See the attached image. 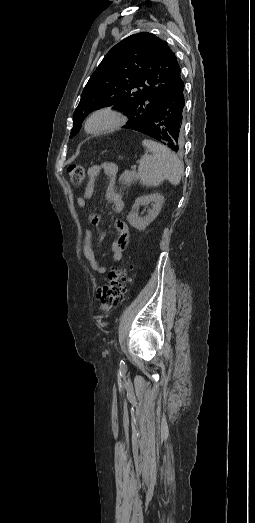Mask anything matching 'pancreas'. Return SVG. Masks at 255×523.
I'll use <instances>...</instances> for the list:
<instances>
[{
	"label": "pancreas",
	"mask_w": 255,
	"mask_h": 523,
	"mask_svg": "<svg viewBox=\"0 0 255 523\" xmlns=\"http://www.w3.org/2000/svg\"><path fill=\"white\" fill-rule=\"evenodd\" d=\"M134 180H137L136 174H132L131 172H124V174H121L119 178V182H122L124 186H129V184H133Z\"/></svg>",
	"instance_id": "cf45deb5"
}]
</instances>
